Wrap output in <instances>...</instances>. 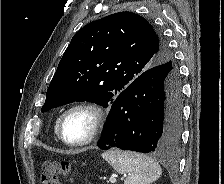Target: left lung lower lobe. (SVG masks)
<instances>
[{
    "instance_id": "0a47b994",
    "label": "left lung lower lobe",
    "mask_w": 224,
    "mask_h": 184,
    "mask_svg": "<svg viewBox=\"0 0 224 184\" xmlns=\"http://www.w3.org/2000/svg\"><path fill=\"white\" fill-rule=\"evenodd\" d=\"M172 63L154 66L113 101L98 147L143 153L175 150L182 129V92Z\"/></svg>"
}]
</instances>
